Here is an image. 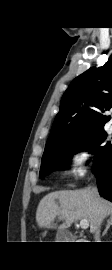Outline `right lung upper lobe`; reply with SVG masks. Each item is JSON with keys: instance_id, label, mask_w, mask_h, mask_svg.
Segmentation results:
<instances>
[{"instance_id": "obj_1", "label": "right lung upper lobe", "mask_w": 112, "mask_h": 270, "mask_svg": "<svg viewBox=\"0 0 112 270\" xmlns=\"http://www.w3.org/2000/svg\"><path fill=\"white\" fill-rule=\"evenodd\" d=\"M112 108V55L99 68L76 77L64 93L46 146L66 143L104 127Z\"/></svg>"}]
</instances>
